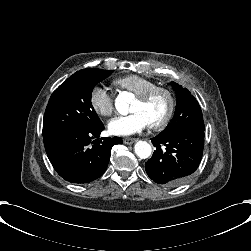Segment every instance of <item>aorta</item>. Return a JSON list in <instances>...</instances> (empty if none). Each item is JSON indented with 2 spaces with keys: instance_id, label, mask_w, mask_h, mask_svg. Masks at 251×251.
<instances>
[{
  "instance_id": "aorta-1",
  "label": "aorta",
  "mask_w": 251,
  "mask_h": 251,
  "mask_svg": "<svg viewBox=\"0 0 251 251\" xmlns=\"http://www.w3.org/2000/svg\"><path fill=\"white\" fill-rule=\"evenodd\" d=\"M132 97L127 92H122L116 100V109L121 114H127L128 104ZM134 152L137 157L145 159L148 158L152 152L151 145L144 140H139L134 144Z\"/></svg>"
}]
</instances>
